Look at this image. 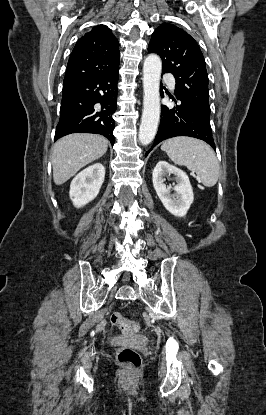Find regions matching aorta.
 Wrapping results in <instances>:
<instances>
[{
	"label": "aorta",
	"mask_w": 266,
	"mask_h": 415,
	"mask_svg": "<svg viewBox=\"0 0 266 415\" xmlns=\"http://www.w3.org/2000/svg\"><path fill=\"white\" fill-rule=\"evenodd\" d=\"M162 62L159 56L150 54L143 66V112L139 128V141L150 144L157 132L160 119V77Z\"/></svg>",
	"instance_id": "aorta-1"
}]
</instances>
